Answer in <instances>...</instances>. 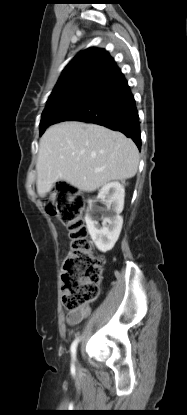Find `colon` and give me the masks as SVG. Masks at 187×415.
Listing matches in <instances>:
<instances>
[{"label": "colon", "instance_id": "1", "mask_svg": "<svg viewBox=\"0 0 187 415\" xmlns=\"http://www.w3.org/2000/svg\"><path fill=\"white\" fill-rule=\"evenodd\" d=\"M84 206V196L67 182L57 184L45 204L46 211L60 220L71 239L61 275L62 301L70 311L78 310L98 297L104 264L103 258L92 252L82 217Z\"/></svg>", "mask_w": 187, "mask_h": 415}]
</instances>
